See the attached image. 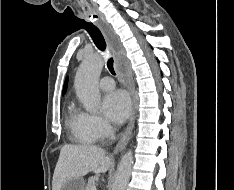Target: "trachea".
Instances as JSON below:
<instances>
[{"label":"trachea","instance_id":"trachea-1","mask_svg":"<svg viewBox=\"0 0 234 190\" xmlns=\"http://www.w3.org/2000/svg\"><path fill=\"white\" fill-rule=\"evenodd\" d=\"M83 28L89 33V35L91 36V38H92L93 42L95 43V45L97 46V48L101 51H105L106 50V42H105L104 37H103L101 31L99 30V28L97 26L93 25L92 23L89 25L83 26ZM107 67H108L109 71L113 75H115L112 58L108 59Z\"/></svg>","mask_w":234,"mask_h":190}]
</instances>
